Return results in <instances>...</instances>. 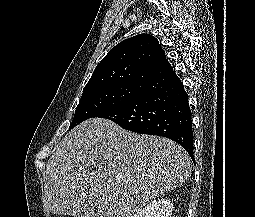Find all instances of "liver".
<instances>
[{"instance_id":"obj_1","label":"liver","mask_w":255,"mask_h":217,"mask_svg":"<svg viewBox=\"0 0 255 217\" xmlns=\"http://www.w3.org/2000/svg\"><path fill=\"white\" fill-rule=\"evenodd\" d=\"M190 172L191 158L176 142L91 118L67 133L49 158L44 207L72 217H131Z\"/></svg>"}]
</instances>
